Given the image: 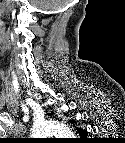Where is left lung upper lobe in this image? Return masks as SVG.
I'll return each instance as SVG.
<instances>
[{
    "label": "left lung upper lobe",
    "mask_w": 125,
    "mask_h": 143,
    "mask_svg": "<svg viewBox=\"0 0 125 143\" xmlns=\"http://www.w3.org/2000/svg\"><path fill=\"white\" fill-rule=\"evenodd\" d=\"M78 132H79V133H81V132H83V130H81V129H78Z\"/></svg>",
    "instance_id": "1"
}]
</instances>
